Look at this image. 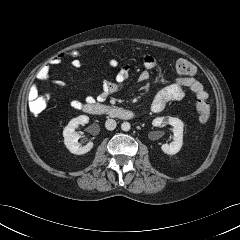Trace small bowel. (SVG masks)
<instances>
[{
	"mask_svg": "<svg viewBox=\"0 0 240 240\" xmlns=\"http://www.w3.org/2000/svg\"><path fill=\"white\" fill-rule=\"evenodd\" d=\"M65 59L63 53L53 56L50 61L42 66L36 73L37 80L41 82H51L59 87H65V83L60 80H52L50 76L51 67L60 64ZM108 65L112 68L119 66L116 59H110ZM157 61L151 55H146L143 58V70L138 76L140 82H145L150 78L151 71L156 68ZM130 75V68L128 65H122L117 70L114 80L104 79L101 84V89L96 96V99L102 101L106 99L110 94H113L120 90L126 83ZM186 90H189L198 100H205L209 102V95L204 89L203 85L197 81L192 75H181L177 77L173 83L162 88L154 97L151 103V110L155 113L162 112L168 103L173 101H179L185 96ZM29 99L37 98L38 87L32 85L28 93ZM95 98L88 96L86 98L87 103H93ZM70 105L77 110H81L84 107V103L80 100L72 99Z\"/></svg>",
	"mask_w": 240,
	"mask_h": 240,
	"instance_id": "small-bowel-1",
	"label": "small bowel"
}]
</instances>
